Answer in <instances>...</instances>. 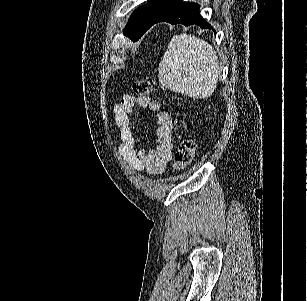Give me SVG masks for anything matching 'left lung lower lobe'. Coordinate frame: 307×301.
Listing matches in <instances>:
<instances>
[{
	"instance_id": "1",
	"label": "left lung lower lobe",
	"mask_w": 307,
	"mask_h": 301,
	"mask_svg": "<svg viewBox=\"0 0 307 301\" xmlns=\"http://www.w3.org/2000/svg\"><path fill=\"white\" fill-rule=\"evenodd\" d=\"M159 22H169L171 24L180 23L185 26L197 24L203 29H213L212 26L201 17L199 5L190 2L176 3L156 19L152 26Z\"/></svg>"
}]
</instances>
